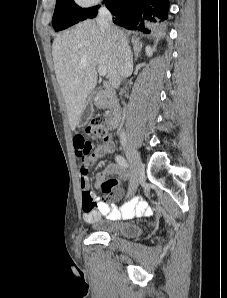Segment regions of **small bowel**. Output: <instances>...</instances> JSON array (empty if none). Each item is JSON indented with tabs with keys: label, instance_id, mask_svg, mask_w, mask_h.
Wrapping results in <instances>:
<instances>
[{
	"label": "small bowel",
	"instance_id": "small-bowel-1",
	"mask_svg": "<svg viewBox=\"0 0 227 298\" xmlns=\"http://www.w3.org/2000/svg\"><path fill=\"white\" fill-rule=\"evenodd\" d=\"M87 139V134H74L71 147H74L75 158H83L79 167L80 187L82 189V217L87 223H91L105 216L109 219H129L136 216L148 215L150 208L141 198L134 196L131 192V182L129 187V197L120 209L109 202L98 200L90 190L88 179V167L108 153L115 150V145L112 141H104L101 144L93 147V142H84ZM106 174H115L122 179H128L127 173L117 164H109L103 172L97 174V180L104 178ZM123 195L121 189L113 192L114 199H120Z\"/></svg>",
	"mask_w": 227,
	"mask_h": 298
}]
</instances>
